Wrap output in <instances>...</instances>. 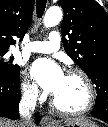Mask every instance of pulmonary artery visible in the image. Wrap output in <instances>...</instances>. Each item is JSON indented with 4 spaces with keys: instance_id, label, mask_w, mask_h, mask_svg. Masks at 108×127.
<instances>
[{
    "instance_id": "e3ab8cb5",
    "label": "pulmonary artery",
    "mask_w": 108,
    "mask_h": 127,
    "mask_svg": "<svg viewBox=\"0 0 108 127\" xmlns=\"http://www.w3.org/2000/svg\"><path fill=\"white\" fill-rule=\"evenodd\" d=\"M60 41L59 33L52 31L47 41H33L27 46V50L36 53H53L59 49Z\"/></svg>"
}]
</instances>
